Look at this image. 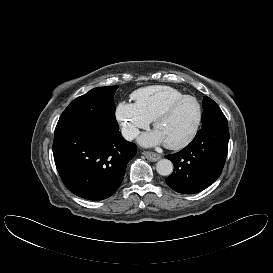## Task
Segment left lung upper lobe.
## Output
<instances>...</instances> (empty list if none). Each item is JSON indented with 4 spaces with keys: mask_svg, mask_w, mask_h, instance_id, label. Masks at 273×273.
Listing matches in <instances>:
<instances>
[{
    "mask_svg": "<svg viewBox=\"0 0 273 273\" xmlns=\"http://www.w3.org/2000/svg\"><path fill=\"white\" fill-rule=\"evenodd\" d=\"M202 114V129L228 125L227 119L219 106L209 97H204Z\"/></svg>",
    "mask_w": 273,
    "mask_h": 273,
    "instance_id": "1",
    "label": "left lung upper lobe"
}]
</instances>
